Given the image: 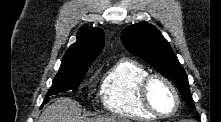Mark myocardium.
Masks as SVG:
<instances>
[{
    "label": "myocardium",
    "mask_w": 221,
    "mask_h": 122,
    "mask_svg": "<svg viewBox=\"0 0 221 122\" xmlns=\"http://www.w3.org/2000/svg\"><path fill=\"white\" fill-rule=\"evenodd\" d=\"M155 80H159L161 82H163L165 85L168 86V88L171 90L174 99H175V107L173 109L172 112L164 114L159 112L151 103L150 101V96H149V89L150 86L152 84L153 81ZM138 95H139V99L140 102L142 104V106L148 111L150 112L152 115H154L155 117H159V118H170L172 116H174L180 107V95L179 92L176 88V86L173 84V82L168 79L167 77H165L162 74L159 73H154V74H148L139 84L138 87Z\"/></svg>",
    "instance_id": "obj_1"
}]
</instances>
